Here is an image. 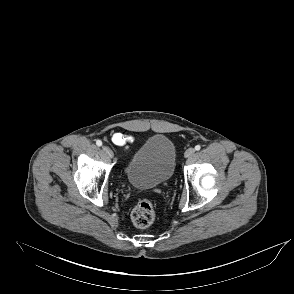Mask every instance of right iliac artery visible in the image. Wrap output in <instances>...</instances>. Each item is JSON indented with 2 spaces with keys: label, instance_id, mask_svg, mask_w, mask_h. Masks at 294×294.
<instances>
[{
  "label": "right iliac artery",
  "instance_id": "obj_1",
  "mask_svg": "<svg viewBox=\"0 0 294 294\" xmlns=\"http://www.w3.org/2000/svg\"><path fill=\"white\" fill-rule=\"evenodd\" d=\"M96 145H97V146H102V141H101V140H97V141H96Z\"/></svg>",
  "mask_w": 294,
  "mask_h": 294
}]
</instances>
